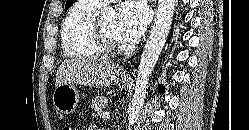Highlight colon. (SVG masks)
I'll use <instances>...</instances> for the list:
<instances>
[{"label": "colon", "instance_id": "obj_1", "mask_svg": "<svg viewBox=\"0 0 249 130\" xmlns=\"http://www.w3.org/2000/svg\"><path fill=\"white\" fill-rule=\"evenodd\" d=\"M62 130H74V128L70 125H67V126L63 127Z\"/></svg>", "mask_w": 249, "mask_h": 130}]
</instances>
